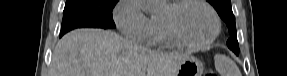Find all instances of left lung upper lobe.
<instances>
[{
  "instance_id": "obj_1",
  "label": "left lung upper lobe",
  "mask_w": 287,
  "mask_h": 76,
  "mask_svg": "<svg viewBox=\"0 0 287 76\" xmlns=\"http://www.w3.org/2000/svg\"><path fill=\"white\" fill-rule=\"evenodd\" d=\"M218 12L219 16L226 22L229 32L232 34L227 41V46L239 54V46L236 35L235 17L231 8V0H207Z\"/></svg>"
}]
</instances>
